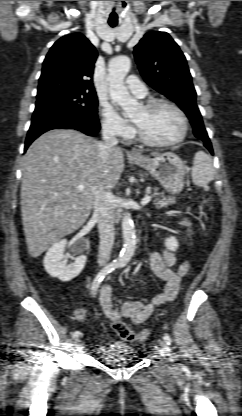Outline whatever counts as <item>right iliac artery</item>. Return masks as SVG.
<instances>
[{
	"mask_svg": "<svg viewBox=\"0 0 242 416\" xmlns=\"http://www.w3.org/2000/svg\"><path fill=\"white\" fill-rule=\"evenodd\" d=\"M117 267H119L118 263L112 262L110 264H108L107 266H105L94 278L93 283H92V292L95 294L100 286V283L102 282V280L106 277V275H108L109 273H111L113 270H115ZM81 335L80 331H75L72 334L73 338H77Z\"/></svg>",
	"mask_w": 242,
	"mask_h": 416,
	"instance_id": "right-iliac-artery-1",
	"label": "right iliac artery"
}]
</instances>
